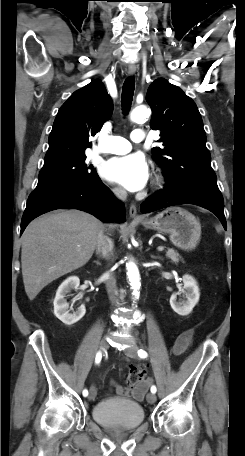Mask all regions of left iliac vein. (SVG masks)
<instances>
[{"label":"left iliac vein","mask_w":245,"mask_h":456,"mask_svg":"<svg viewBox=\"0 0 245 456\" xmlns=\"http://www.w3.org/2000/svg\"><path fill=\"white\" fill-rule=\"evenodd\" d=\"M137 349L138 347L135 344H132L130 347H128L124 352L125 354L130 357V358H137ZM147 401L150 404H153L156 402V395L155 393H148L147 394Z\"/></svg>","instance_id":"4c4485c4"}]
</instances>
